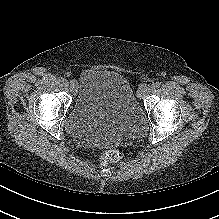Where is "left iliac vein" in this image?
Masks as SVG:
<instances>
[{
  "mask_svg": "<svg viewBox=\"0 0 219 219\" xmlns=\"http://www.w3.org/2000/svg\"><path fill=\"white\" fill-rule=\"evenodd\" d=\"M153 90L151 85L143 84L138 88L137 95L138 98L142 99L143 97L149 95Z\"/></svg>",
  "mask_w": 219,
  "mask_h": 219,
  "instance_id": "4c4485c4",
  "label": "left iliac vein"
}]
</instances>
